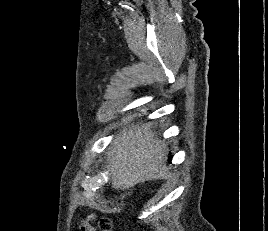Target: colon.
Returning a JSON list of instances; mask_svg holds the SVG:
<instances>
[{"instance_id":"obj_1","label":"colon","mask_w":268,"mask_h":231,"mask_svg":"<svg viewBox=\"0 0 268 231\" xmlns=\"http://www.w3.org/2000/svg\"><path fill=\"white\" fill-rule=\"evenodd\" d=\"M98 231H113V223L109 218H101L98 223Z\"/></svg>"}]
</instances>
